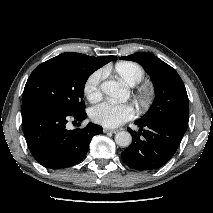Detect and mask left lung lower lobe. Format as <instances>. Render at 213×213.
Instances as JSON below:
<instances>
[{"label":"left lung lower lobe","instance_id":"1","mask_svg":"<svg viewBox=\"0 0 213 213\" xmlns=\"http://www.w3.org/2000/svg\"><path fill=\"white\" fill-rule=\"evenodd\" d=\"M138 132L132 134L131 145L121 153L129 167L145 171L163 166L175 154L187 127L172 121L135 122Z\"/></svg>","mask_w":213,"mask_h":213}]
</instances>
